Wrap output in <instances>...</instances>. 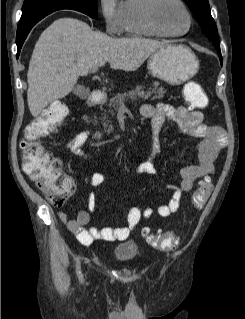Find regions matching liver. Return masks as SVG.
Returning <instances> with one entry per match:
<instances>
[{"label":"liver","instance_id":"liver-1","mask_svg":"<svg viewBox=\"0 0 245 319\" xmlns=\"http://www.w3.org/2000/svg\"><path fill=\"white\" fill-rule=\"evenodd\" d=\"M166 43L142 38H112L93 31L84 21L64 17L40 35L27 73V101L37 117L50 103L64 98L79 76L106 62L112 69L135 71Z\"/></svg>","mask_w":245,"mask_h":319}]
</instances>
